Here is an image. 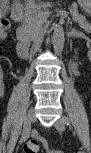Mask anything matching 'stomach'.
<instances>
[{
  "label": "stomach",
  "mask_w": 91,
  "mask_h": 153,
  "mask_svg": "<svg viewBox=\"0 0 91 153\" xmlns=\"http://www.w3.org/2000/svg\"><path fill=\"white\" fill-rule=\"evenodd\" d=\"M79 3L82 5L83 9L86 12H90L91 1L90 0H79Z\"/></svg>",
  "instance_id": "1"
}]
</instances>
